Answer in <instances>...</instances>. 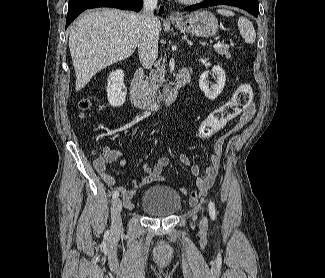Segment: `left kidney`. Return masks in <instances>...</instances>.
<instances>
[{"mask_svg":"<svg viewBox=\"0 0 325 278\" xmlns=\"http://www.w3.org/2000/svg\"><path fill=\"white\" fill-rule=\"evenodd\" d=\"M212 75L216 78V84H210L208 77ZM226 82V74L221 66L217 65L212 68L211 72L202 73L199 79V87L209 100H215L223 91ZM210 85V87H209Z\"/></svg>","mask_w":325,"mask_h":278,"instance_id":"left-kidney-1","label":"left kidney"}]
</instances>
